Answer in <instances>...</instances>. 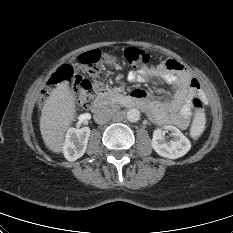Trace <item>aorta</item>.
I'll return each mask as SVG.
<instances>
[{
	"label": "aorta",
	"instance_id": "obj_1",
	"mask_svg": "<svg viewBox=\"0 0 233 233\" xmlns=\"http://www.w3.org/2000/svg\"><path fill=\"white\" fill-rule=\"evenodd\" d=\"M126 118L130 122H137L140 119V112L135 108L129 109L126 112Z\"/></svg>",
	"mask_w": 233,
	"mask_h": 233
}]
</instances>
